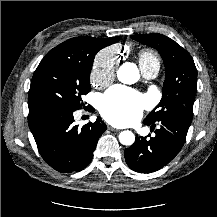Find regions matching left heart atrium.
Returning a JSON list of instances; mask_svg holds the SVG:
<instances>
[{
  "instance_id": "39dd6f15",
  "label": "left heart atrium",
  "mask_w": 217,
  "mask_h": 217,
  "mask_svg": "<svg viewBox=\"0 0 217 217\" xmlns=\"http://www.w3.org/2000/svg\"><path fill=\"white\" fill-rule=\"evenodd\" d=\"M146 106V98L122 85L107 91L101 99L99 111L111 124L126 126L138 120Z\"/></svg>"
}]
</instances>
